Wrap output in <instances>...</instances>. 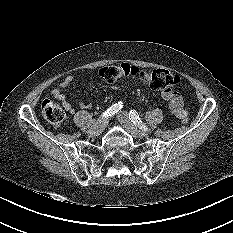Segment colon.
Listing matches in <instances>:
<instances>
[{"mask_svg": "<svg viewBox=\"0 0 233 233\" xmlns=\"http://www.w3.org/2000/svg\"><path fill=\"white\" fill-rule=\"evenodd\" d=\"M99 75L110 83L120 79H133L147 84L152 89L158 91H173L180 84L179 76L172 74L168 70H141L127 63L104 67L100 69ZM41 114L43 118L54 127L61 126L66 118L64 110L50 99H46L42 102ZM181 121L186 123L187 118H183Z\"/></svg>", "mask_w": 233, "mask_h": 233, "instance_id": "1", "label": "colon"}]
</instances>
